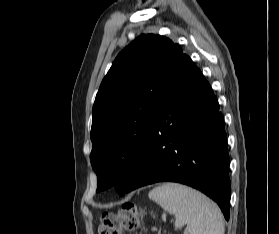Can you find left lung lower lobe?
Wrapping results in <instances>:
<instances>
[{"label":"left lung lower lobe","instance_id":"left-lung-lower-lobe-1","mask_svg":"<svg viewBox=\"0 0 279 234\" xmlns=\"http://www.w3.org/2000/svg\"><path fill=\"white\" fill-rule=\"evenodd\" d=\"M229 163L217 98L201 71L183 54L163 91L125 192L160 181L186 184L216 201L229 220Z\"/></svg>","mask_w":279,"mask_h":234}]
</instances>
